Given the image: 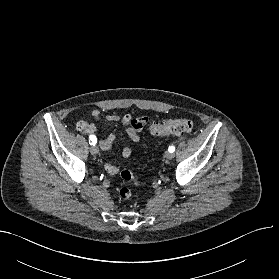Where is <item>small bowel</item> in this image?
Instances as JSON below:
<instances>
[{"mask_svg": "<svg viewBox=\"0 0 279 279\" xmlns=\"http://www.w3.org/2000/svg\"><path fill=\"white\" fill-rule=\"evenodd\" d=\"M91 117L93 122L89 123L87 121L80 120L76 123V129L82 133L96 137L98 131L96 122L100 121L101 113L98 110H94L91 113ZM105 119L110 122H120L126 128L129 141L125 144L123 148L122 157L128 158L132 154V147L130 143H138L140 141V134L142 133L144 128L149 124V118L145 116L134 117L132 114L126 113L123 115L108 114L105 116ZM115 138L116 137L114 134H109L105 138H100V148L104 151L108 150L115 141ZM104 168L106 172L110 175H116L119 172V167L114 164L106 163L104 165Z\"/></svg>", "mask_w": 279, "mask_h": 279, "instance_id": "obj_1", "label": "small bowel"}]
</instances>
